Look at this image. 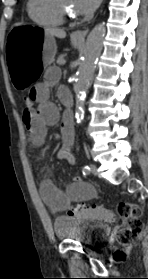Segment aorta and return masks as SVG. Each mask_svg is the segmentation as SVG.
I'll return each mask as SVG.
<instances>
[{
  "mask_svg": "<svg viewBox=\"0 0 148 279\" xmlns=\"http://www.w3.org/2000/svg\"><path fill=\"white\" fill-rule=\"evenodd\" d=\"M105 36V26L99 24L89 33L85 47L83 50V57L78 68L75 84V99H76V118L80 122L83 119V106L86 98V92L89 87V81L92 79L97 59L103 47Z\"/></svg>",
  "mask_w": 148,
  "mask_h": 279,
  "instance_id": "1",
  "label": "aorta"
}]
</instances>
